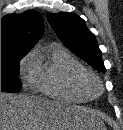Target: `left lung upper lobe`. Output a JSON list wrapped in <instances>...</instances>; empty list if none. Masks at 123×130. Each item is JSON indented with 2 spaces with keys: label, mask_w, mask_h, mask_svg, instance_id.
<instances>
[{
  "label": "left lung upper lobe",
  "mask_w": 123,
  "mask_h": 130,
  "mask_svg": "<svg viewBox=\"0 0 123 130\" xmlns=\"http://www.w3.org/2000/svg\"><path fill=\"white\" fill-rule=\"evenodd\" d=\"M47 19L61 41L77 56L98 71H105L95 35L82 18L74 13L59 12L49 14Z\"/></svg>",
  "instance_id": "obj_1"
}]
</instances>
